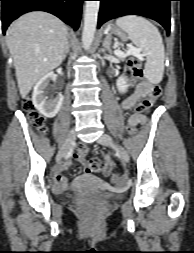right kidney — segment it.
Wrapping results in <instances>:
<instances>
[{
    "instance_id": "obj_1",
    "label": "right kidney",
    "mask_w": 194,
    "mask_h": 253,
    "mask_svg": "<svg viewBox=\"0 0 194 253\" xmlns=\"http://www.w3.org/2000/svg\"><path fill=\"white\" fill-rule=\"evenodd\" d=\"M53 73H48L42 77L35 85L32 95L34 107L45 117L53 118L59 112L64 97L61 93L55 98H48L45 90L52 78Z\"/></svg>"
}]
</instances>
